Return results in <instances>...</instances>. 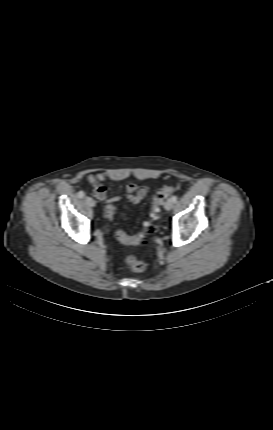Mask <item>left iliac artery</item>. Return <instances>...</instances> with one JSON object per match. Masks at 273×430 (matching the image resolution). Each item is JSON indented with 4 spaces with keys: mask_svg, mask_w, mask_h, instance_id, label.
<instances>
[{
    "mask_svg": "<svg viewBox=\"0 0 273 430\" xmlns=\"http://www.w3.org/2000/svg\"><path fill=\"white\" fill-rule=\"evenodd\" d=\"M171 199H172V201L175 203V202L177 201V196H176V195H174V196H172V197H171Z\"/></svg>",
    "mask_w": 273,
    "mask_h": 430,
    "instance_id": "44dca946",
    "label": "left iliac artery"
}]
</instances>
